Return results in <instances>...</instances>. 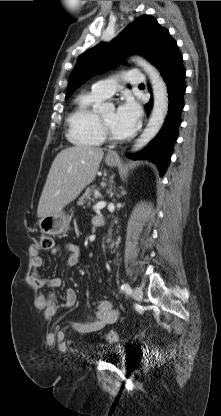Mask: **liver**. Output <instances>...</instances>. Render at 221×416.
<instances>
[{
  "mask_svg": "<svg viewBox=\"0 0 221 416\" xmlns=\"http://www.w3.org/2000/svg\"><path fill=\"white\" fill-rule=\"evenodd\" d=\"M104 152L99 147L77 145L55 157L44 185L37 215L40 218L59 213L94 181Z\"/></svg>",
  "mask_w": 221,
  "mask_h": 416,
  "instance_id": "obj_1",
  "label": "liver"
}]
</instances>
